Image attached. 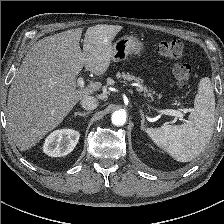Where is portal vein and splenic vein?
<instances>
[{
    "instance_id": "1",
    "label": "portal vein and splenic vein",
    "mask_w": 224,
    "mask_h": 224,
    "mask_svg": "<svg viewBox=\"0 0 224 224\" xmlns=\"http://www.w3.org/2000/svg\"><path fill=\"white\" fill-rule=\"evenodd\" d=\"M77 84H78L79 88H83L85 86V83H84V80L82 77L78 78ZM159 112H161L162 114H165V115L178 117L180 121H184L183 113H181L178 110L166 109V110H160Z\"/></svg>"
}]
</instances>
